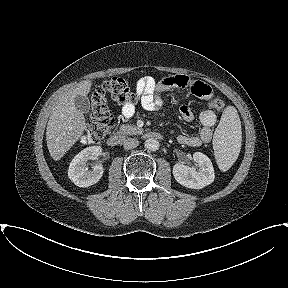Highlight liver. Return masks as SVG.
Segmentation results:
<instances>
[{
	"label": "liver",
	"mask_w": 288,
	"mask_h": 288,
	"mask_svg": "<svg viewBox=\"0 0 288 288\" xmlns=\"http://www.w3.org/2000/svg\"><path fill=\"white\" fill-rule=\"evenodd\" d=\"M90 80L81 81L59 100L53 109L46 128L47 147L51 157L59 161L82 137L86 128L83 113L75 107L76 96H86L91 89Z\"/></svg>",
	"instance_id": "obj_1"
}]
</instances>
